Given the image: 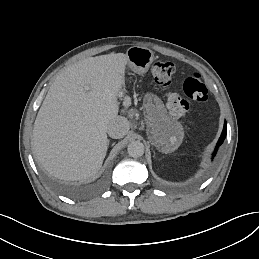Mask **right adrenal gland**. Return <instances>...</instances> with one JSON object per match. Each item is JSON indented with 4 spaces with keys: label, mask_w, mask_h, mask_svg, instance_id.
I'll list each match as a JSON object with an SVG mask.
<instances>
[{
    "label": "right adrenal gland",
    "mask_w": 259,
    "mask_h": 259,
    "mask_svg": "<svg viewBox=\"0 0 259 259\" xmlns=\"http://www.w3.org/2000/svg\"><path fill=\"white\" fill-rule=\"evenodd\" d=\"M107 145H109V140L107 141Z\"/></svg>",
    "instance_id": "2a0ac1e0"
}]
</instances>
